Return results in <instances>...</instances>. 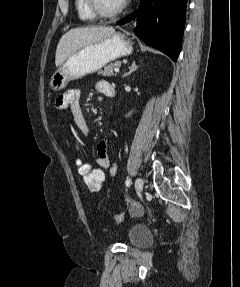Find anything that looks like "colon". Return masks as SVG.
Segmentation results:
<instances>
[{"instance_id": "colon-1", "label": "colon", "mask_w": 240, "mask_h": 287, "mask_svg": "<svg viewBox=\"0 0 240 287\" xmlns=\"http://www.w3.org/2000/svg\"><path fill=\"white\" fill-rule=\"evenodd\" d=\"M75 165L78 174L81 176L89 190L96 192L102 188L105 176L100 168H96L92 163L86 161L82 157L75 158ZM112 219L115 223H121L123 221V215L115 214Z\"/></svg>"}]
</instances>
